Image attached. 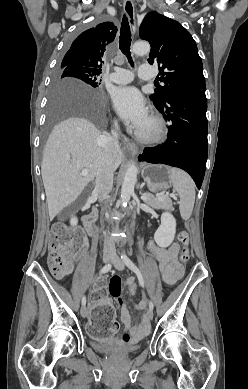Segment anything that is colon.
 <instances>
[{
  "label": "colon",
  "mask_w": 248,
  "mask_h": 389,
  "mask_svg": "<svg viewBox=\"0 0 248 389\" xmlns=\"http://www.w3.org/2000/svg\"><path fill=\"white\" fill-rule=\"evenodd\" d=\"M178 240L182 244L180 252V260L182 263H187L190 257L188 244L189 234L186 231H181L178 234ZM84 247V239L82 234L74 228H70L62 223L53 225L49 240H48V265L52 274L57 278L64 277L71 268L72 256L82 251ZM75 260L79 259L78 255L74 256ZM108 278H96L92 283L94 296L91 297V302L95 303L92 306V321L89 326H86V333H91L96 337V344H107L108 340H113L118 325L115 320V310L110 302V297L107 296L106 287ZM129 294L134 295L138 291L137 282H130Z\"/></svg>",
  "instance_id": "obj_1"
}]
</instances>
